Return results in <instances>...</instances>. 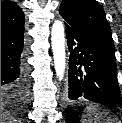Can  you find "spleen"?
I'll list each match as a JSON object with an SVG mask.
<instances>
[{
    "mask_svg": "<svg viewBox=\"0 0 122 123\" xmlns=\"http://www.w3.org/2000/svg\"><path fill=\"white\" fill-rule=\"evenodd\" d=\"M108 116V112L102 110L99 106H88L85 109L82 123H102L105 117ZM109 119L107 123H109Z\"/></svg>",
    "mask_w": 122,
    "mask_h": 123,
    "instance_id": "1",
    "label": "spleen"
}]
</instances>
